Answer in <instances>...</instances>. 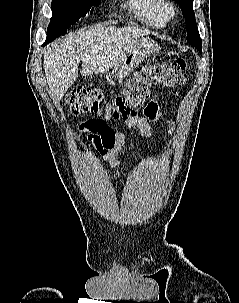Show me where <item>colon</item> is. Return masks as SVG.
I'll list each match as a JSON object with an SVG mask.
<instances>
[{
  "instance_id": "colon-1",
  "label": "colon",
  "mask_w": 239,
  "mask_h": 303,
  "mask_svg": "<svg viewBox=\"0 0 239 303\" xmlns=\"http://www.w3.org/2000/svg\"><path fill=\"white\" fill-rule=\"evenodd\" d=\"M188 76L184 59L171 62L144 64L127 82L124 89L113 99L106 100L98 89L78 88L67 95L66 101L73 115L92 113L103 116L106 121L129 119L136 115L155 85H182ZM97 130L106 127L104 120L94 123Z\"/></svg>"
}]
</instances>
